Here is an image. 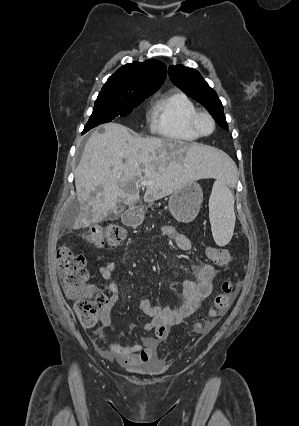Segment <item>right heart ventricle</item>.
Here are the masks:
<instances>
[{
	"label": "right heart ventricle",
	"instance_id": "obj_1",
	"mask_svg": "<svg viewBox=\"0 0 299 426\" xmlns=\"http://www.w3.org/2000/svg\"><path fill=\"white\" fill-rule=\"evenodd\" d=\"M197 111L194 102L184 93L171 90L160 96L153 105L151 128L157 135L181 142L199 139L191 128L190 120Z\"/></svg>",
	"mask_w": 299,
	"mask_h": 426
}]
</instances>
